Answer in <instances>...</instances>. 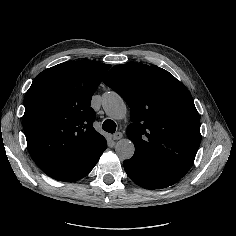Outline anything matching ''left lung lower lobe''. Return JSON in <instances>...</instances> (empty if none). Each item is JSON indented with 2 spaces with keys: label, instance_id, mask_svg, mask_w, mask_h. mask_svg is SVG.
<instances>
[{
  "label": "left lung lower lobe",
  "instance_id": "left-lung-lower-lobe-1",
  "mask_svg": "<svg viewBox=\"0 0 236 236\" xmlns=\"http://www.w3.org/2000/svg\"><path fill=\"white\" fill-rule=\"evenodd\" d=\"M124 169L133 182L146 189L165 188L181 179L138 154H134L131 159L124 161Z\"/></svg>",
  "mask_w": 236,
  "mask_h": 236
}]
</instances>
